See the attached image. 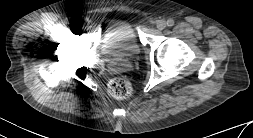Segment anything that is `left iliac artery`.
<instances>
[{
  "label": "left iliac artery",
  "mask_w": 253,
  "mask_h": 138,
  "mask_svg": "<svg viewBox=\"0 0 253 138\" xmlns=\"http://www.w3.org/2000/svg\"><path fill=\"white\" fill-rule=\"evenodd\" d=\"M166 24H167L168 27H172L174 25V20L173 19H168Z\"/></svg>",
  "instance_id": "left-iliac-artery-1"
}]
</instances>
